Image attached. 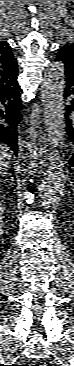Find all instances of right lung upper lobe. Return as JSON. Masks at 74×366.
Segmentation results:
<instances>
[{
	"label": "right lung upper lobe",
	"mask_w": 74,
	"mask_h": 366,
	"mask_svg": "<svg viewBox=\"0 0 74 366\" xmlns=\"http://www.w3.org/2000/svg\"><path fill=\"white\" fill-rule=\"evenodd\" d=\"M18 65L7 42L0 41V87L17 80Z\"/></svg>",
	"instance_id": "1"
}]
</instances>
